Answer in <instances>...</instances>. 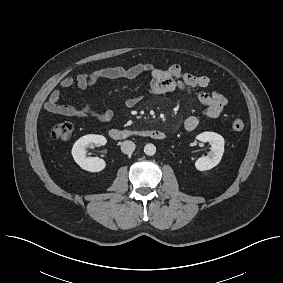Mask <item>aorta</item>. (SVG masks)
<instances>
[{
  "instance_id": "aorta-1",
  "label": "aorta",
  "mask_w": 283,
  "mask_h": 283,
  "mask_svg": "<svg viewBox=\"0 0 283 283\" xmlns=\"http://www.w3.org/2000/svg\"><path fill=\"white\" fill-rule=\"evenodd\" d=\"M144 152L148 156H153L156 153L155 145H153L151 143L146 144L145 147H144Z\"/></svg>"
}]
</instances>
